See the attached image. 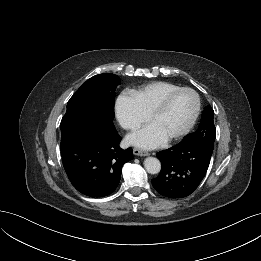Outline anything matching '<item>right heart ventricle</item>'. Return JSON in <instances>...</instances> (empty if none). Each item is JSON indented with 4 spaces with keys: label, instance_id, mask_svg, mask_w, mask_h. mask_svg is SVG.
Returning <instances> with one entry per match:
<instances>
[{
    "label": "right heart ventricle",
    "instance_id": "1",
    "mask_svg": "<svg viewBox=\"0 0 261 261\" xmlns=\"http://www.w3.org/2000/svg\"><path fill=\"white\" fill-rule=\"evenodd\" d=\"M179 88L181 86L175 83L156 81L133 91V95L142 111L149 116L167 94Z\"/></svg>",
    "mask_w": 261,
    "mask_h": 261
}]
</instances>
